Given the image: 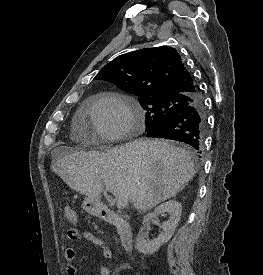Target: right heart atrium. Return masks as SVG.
Listing matches in <instances>:
<instances>
[{"instance_id": "1", "label": "right heart atrium", "mask_w": 263, "mask_h": 275, "mask_svg": "<svg viewBox=\"0 0 263 275\" xmlns=\"http://www.w3.org/2000/svg\"><path fill=\"white\" fill-rule=\"evenodd\" d=\"M93 121L103 140H117L135 131L134 108L120 95L109 94L94 102Z\"/></svg>"}]
</instances>
